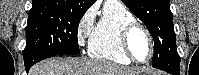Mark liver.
<instances>
[{
  "label": "liver",
  "mask_w": 199,
  "mask_h": 75,
  "mask_svg": "<svg viewBox=\"0 0 199 75\" xmlns=\"http://www.w3.org/2000/svg\"><path fill=\"white\" fill-rule=\"evenodd\" d=\"M138 70L86 58H50L35 64L29 75H137Z\"/></svg>",
  "instance_id": "6515ba94"
}]
</instances>
